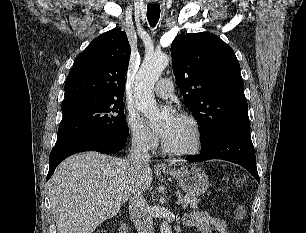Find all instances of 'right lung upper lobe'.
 <instances>
[{
	"label": "right lung upper lobe",
	"mask_w": 306,
	"mask_h": 233,
	"mask_svg": "<svg viewBox=\"0 0 306 233\" xmlns=\"http://www.w3.org/2000/svg\"><path fill=\"white\" fill-rule=\"evenodd\" d=\"M131 49L124 31L110 30L94 39L76 59L65 83L64 102L122 99Z\"/></svg>",
	"instance_id": "1"
}]
</instances>
